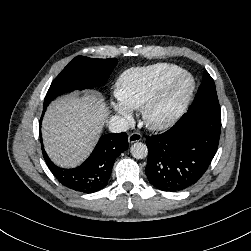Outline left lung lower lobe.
Wrapping results in <instances>:
<instances>
[{
    "label": "left lung lower lobe",
    "instance_id": "left-lung-lower-lobe-1",
    "mask_svg": "<svg viewBox=\"0 0 251 251\" xmlns=\"http://www.w3.org/2000/svg\"><path fill=\"white\" fill-rule=\"evenodd\" d=\"M220 132L221 111L189 107L169 130L147 138L149 182L169 192L196 183L217 151Z\"/></svg>",
    "mask_w": 251,
    "mask_h": 251
}]
</instances>
